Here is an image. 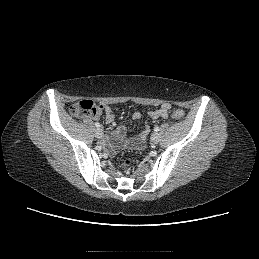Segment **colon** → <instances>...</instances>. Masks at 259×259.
Returning a JSON list of instances; mask_svg holds the SVG:
<instances>
[{"label":"colon","instance_id":"5ec220e1","mask_svg":"<svg viewBox=\"0 0 259 259\" xmlns=\"http://www.w3.org/2000/svg\"><path fill=\"white\" fill-rule=\"evenodd\" d=\"M100 106H98L93 100L85 99L74 103L70 112L75 116L81 117H94L99 113ZM175 119L181 120L185 117V112L181 109H174L171 112ZM131 159L126 158L122 162V166L128 168L131 166Z\"/></svg>","mask_w":259,"mask_h":259}]
</instances>
